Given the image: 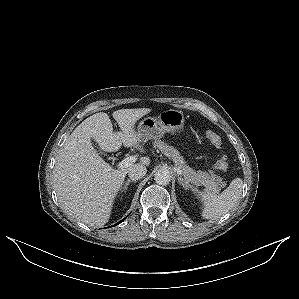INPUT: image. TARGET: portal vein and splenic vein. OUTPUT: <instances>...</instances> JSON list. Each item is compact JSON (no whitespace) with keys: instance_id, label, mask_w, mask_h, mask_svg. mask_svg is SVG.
Returning a JSON list of instances; mask_svg holds the SVG:
<instances>
[{"instance_id":"18ae733b","label":"portal vein and splenic vein","mask_w":299,"mask_h":299,"mask_svg":"<svg viewBox=\"0 0 299 299\" xmlns=\"http://www.w3.org/2000/svg\"><path fill=\"white\" fill-rule=\"evenodd\" d=\"M136 161V157L135 156H129L125 159H123L121 162L118 163V168H127L129 166H131L134 162ZM176 171L179 175L182 174V171L180 168H176Z\"/></svg>"}]
</instances>
